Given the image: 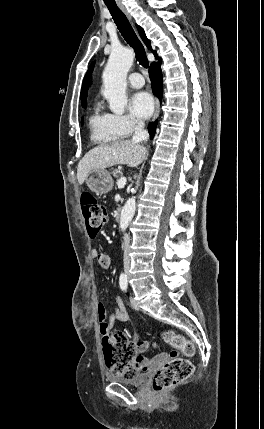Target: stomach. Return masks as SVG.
I'll list each match as a JSON object with an SVG mask.
<instances>
[{
    "instance_id": "0dacf381",
    "label": "stomach",
    "mask_w": 264,
    "mask_h": 429,
    "mask_svg": "<svg viewBox=\"0 0 264 429\" xmlns=\"http://www.w3.org/2000/svg\"><path fill=\"white\" fill-rule=\"evenodd\" d=\"M86 184L96 195L106 194L113 188L112 177L105 169L92 170L86 178Z\"/></svg>"
}]
</instances>
